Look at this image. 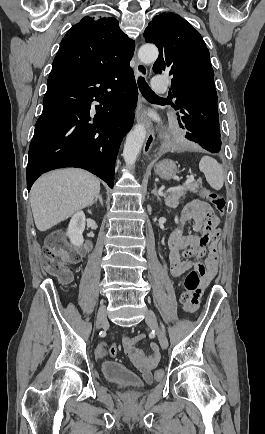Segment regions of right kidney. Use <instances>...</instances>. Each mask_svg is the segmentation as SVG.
<instances>
[{
    "label": "right kidney",
    "mask_w": 265,
    "mask_h": 434,
    "mask_svg": "<svg viewBox=\"0 0 265 434\" xmlns=\"http://www.w3.org/2000/svg\"><path fill=\"white\" fill-rule=\"evenodd\" d=\"M88 212L91 214L90 210H88ZM85 222L86 218L84 212H77V214L72 216L69 222L67 236L73 246H82L84 242L82 234L85 230Z\"/></svg>",
    "instance_id": "obj_1"
}]
</instances>
